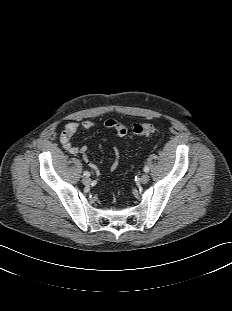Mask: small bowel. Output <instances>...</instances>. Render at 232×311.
<instances>
[{
    "label": "small bowel",
    "mask_w": 232,
    "mask_h": 311,
    "mask_svg": "<svg viewBox=\"0 0 232 311\" xmlns=\"http://www.w3.org/2000/svg\"><path fill=\"white\" fill-rule=\"evenodd\" d=\"M95 125V122L92 120H84L82 122H76V121H71L68 122L65 126L64 131L60 135V143L62 144L63 148L69 152L70 154L76 155V154H81V155H86L88 148L87 146H75L72 143V137L78 130H89ZM104 126L107 129H113L117 133L118 136H124L127 133L126 128L119 123L118 121L114 119H108L105 121ZM114 153L116 157H118V150L115 149ZM118 161L116 160L112 164V169H115L117 167Z\"/></svg>",
    "instance_id": "c3829d8e"
}]
</instances>
